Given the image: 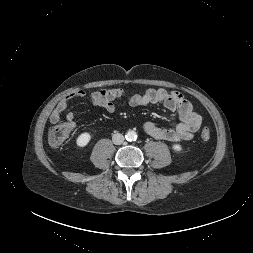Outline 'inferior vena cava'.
I'll list each match as a JSON object with an SVG mask.
<instances>
[{"mask_svg":"<svg viewBox=\"0 0 253 253\" xmlns=\"http://www.w3.org/2000/svg\"><path fill=\"white\" fill-rule=\"evenodd\" d=\"M112 141L115 145H120L124 142V136L120 133H116L112 136Z\"/></svg>","mask_w":253,"mask_h":253,"instance_id":"inferior-vena-cava-1","label":"inferior vena cava"}]
</instances>
